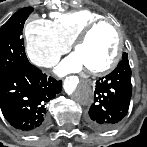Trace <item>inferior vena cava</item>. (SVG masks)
Returning <instances> with one entry per match:
<instances>
[{
  "label": "inferior vena cava",
  "instance_id": "obj_1",
  "mask_svg": "<svg viewBox=\"0 0 147 147\" xmlns=\"http://www.w3.org/2000/svg\"><path fill=\"white\" fill-rule=\"evenodd\" d=\"M54 65H55V63L45 64V66H47V67H52V66H54Z\"/></svg>",
  "mask_w": 147,
  "mask_h": 147
}]
</instances>
